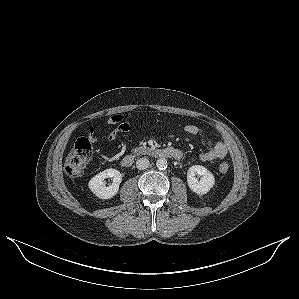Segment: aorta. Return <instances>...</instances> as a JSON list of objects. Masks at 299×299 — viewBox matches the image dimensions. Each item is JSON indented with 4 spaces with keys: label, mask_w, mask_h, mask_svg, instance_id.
Masks as SVG:
<instances>
[{
    "label": "aorta",
    "mask_w": 299,
    "mask_h": 299,
    "mask_svg": "<svg viewBox=\"0 0 299 299\" xmlns=\"http://www.w3.org/2000/svg\"><path fill=\"white\" fill-rule=\"evenodd\" d=\"M157 168L163 170L167 168V160L165 158H159L156 161Z\"/></svg>",
    "instance_id": "762f6f07"
}]
</instances>
